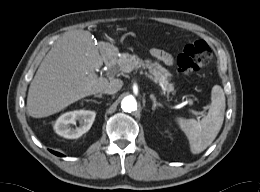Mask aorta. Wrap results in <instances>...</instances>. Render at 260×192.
Masks as SVG:
<instances>
[{"label": "aorta", "instance_id": "obj_1", "mask_svg": "<svg viewBox=\"0 0 260 192\" xmlns=\"http://www.w3.org/2000/svg\"><path fill=\"white\" fill-rule=\"evenodd\" d=\"M121 108L125 112H133L137 109V102L133 96H126L121 101Z\"/></svg>", "mask_w": 260, "mask_h": 192}]
</instances>
